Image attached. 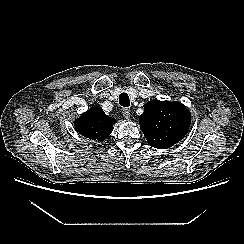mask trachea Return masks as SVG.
<instances>
[{"label":"trachea","instance_id":"obj_1","mask_svg":"<svg viewBox=\"0 0 244 244\" xmlns=\"http://www.w3.org/2000/svg\"><path fill=\"white\" fill-rule=\"evenodd\" d=\"M119 104L123 107H128L130 105V100L127 93H121L119 95Z\"/></svg>","mask_w":244,"mask_h":244}]
</instances>
